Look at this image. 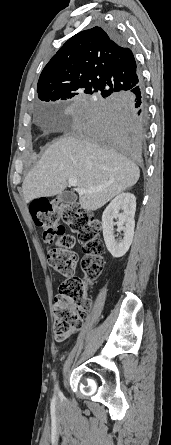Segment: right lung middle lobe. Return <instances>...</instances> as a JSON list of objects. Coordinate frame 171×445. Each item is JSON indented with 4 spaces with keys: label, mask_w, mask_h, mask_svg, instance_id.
Segmentation results:
<instances>
[{
    "label": "right lung middle lobe",
    "mask_w": 171,
    "mask_h": 445,
    "mask_svg": "<svg viewBox=\"0 0 171 445\" xmlns=\"http://www.w3.org/2000/svg\"><path fill=\"white\" fill-rule=\"evenodd\" d=\"M87 94L91 95L88 98V102L90 104H92L96 100H100V99L104 98V96H105L104 94H101V93H87ZM69 98H71V97H69Z\"/></svg>",
    "instance_id": "dd1d6c3e"
}]
</instances>
